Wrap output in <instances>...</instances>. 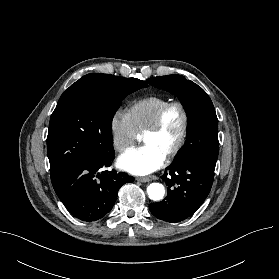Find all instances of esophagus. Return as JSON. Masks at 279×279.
Returning a JSON list of instances; mask_svg holds the SVG:
<instances>
[{
	"mask_svg": "<svg viewBox=\"0 0 279 279\" xmlns=\"http://www.w3.org/2000/svg\"><path fill=\"white\" fill-rule=\"evenodd\" d=\"M156 179L155 176H148V177H137L136 180L139 182H149L151 180Z\"/></svg>",
	"mask_w": 279,
	"mask_h": 279,
	"instance_id": "esophagus-1",
	"label": "esophagus"
}]
</instances>
